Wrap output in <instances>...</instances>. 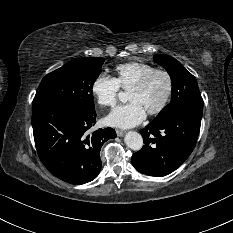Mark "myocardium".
Wrapping results in <instances>:
<instances>
[{
    "label": "myocardium",
    "mask_w": 233,
    "mask_h": 233,
    "mask_svg": "<svg viewBox=\"0 0 233 233\" xmlns=\"http://www.w3.org/2000/svg\"><path fill=\"white\" fill-rule=\"evenodd\" d=\"M157 74H163L166 79H167V91L164 96V99L160 103V105L147 112L149 115H158L160 114L168 105L170 102V99L172 97L173 89H174V83H173V78L171 74L165 70V69H154L153 71L149 72L146 74L140 81H138L131 89L130 91H142L150 82V80Z\"/></svg>",
    "instance_id": "obj_1"
}]
</instances>
